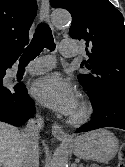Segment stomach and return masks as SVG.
Listing matches in <instances>:
<instances>
[{
  "label": "stomach",
  "instance_id": "obj_1",
  "mask_svg": "<svg viewBox=\"0 0 125 167\" xmlns=\"http://www.w3.org/2000/svg\"><path fill=\"white\" fill-rule=\"evenodd\" d=\"M71 147L82 159L106 163L116 155L119 141L113 133L98 129L76 137Z\"/></svg>",
  "mask_w": 125,
  "mask_h": 167
}]
</instances>
